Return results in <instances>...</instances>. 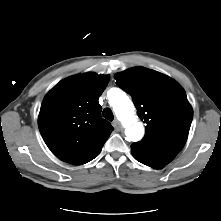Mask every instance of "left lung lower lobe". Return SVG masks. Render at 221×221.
<instances>
[{
	"label": "left lung lower lobe",
	"mask_w": 221,
	"mask_h": 221,
	"mask_svg": "<svg viewBox=\"0 0 221 221\" xmlns=\"http://www.w3.org/2000/svg\"><path fill=\"white\" fill-rule=\"evenodd\" d=\"M131 149H132L133 157L137 161H139L147 166H150L153 168H163L166 165V164L160 163V162L152 159L149 155H147L145 152H143L140 148H137V147L131 145Z\"/></svg>",
	"instance_id": "obj_1"
}]
</instances>
